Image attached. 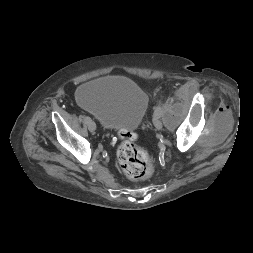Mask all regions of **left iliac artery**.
<instances>
[{
	"mask_svg": "<svg viewBox=\"0 0 253 253\" xmlns=\"http://www.w3.org/2000/svg\"><path fill=\"white\" fill-rule=\"evenodd\" d=\"M154 114H157L159 118L161 117V115H162V108H161L160 105L155 106V108H154Z\"/></svg>",
	"mask_w": 253,
	"mask_h": 253,
	"instance_id": "44dca946",
	"label": "left iliac artery"
}]
</instances>
